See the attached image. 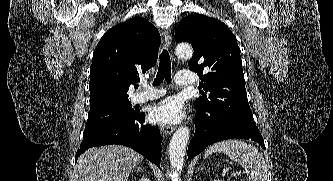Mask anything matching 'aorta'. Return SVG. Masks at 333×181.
<instances>
[{"instance_id":"obj_1","label":"aorta","mask_w":333,"mask_h":181,"mask_svg":"<svg viewBox=\"0 0 333 181\" xmlns=\"http://www.w3.org/2000/svg\"><path fill=\"white\" fill-rule=\"evenodd\" d=\"M176 55L181 59H189L193 50L189 44H179L176 47ZM189 128L180 127L173 134L169 144V158L173 169L180 171L184 165L186 146L189 140Z\"/></svg>"}]
</instances>
